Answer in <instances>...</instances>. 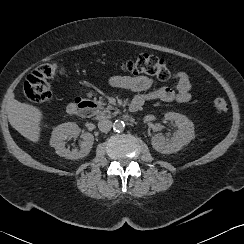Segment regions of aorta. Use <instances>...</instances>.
Returning a JSON list of instances; mask_svg holds the SVG:
<instances>
[{"label":"aorta","mask_w":244,"mask_h":244,"mask_svg":"<svg viewBox=\"0 0 244 244\" xmlns=\"http://www.w3.org/2000/svg\"><path fill=\"white\" fill-rule=\"evenodd\" d=\"M125 128V123L123 121H115L113 129L117 132L123 131Z\"/></svg>","instance_id":"aorta-1"}]
</instances>
